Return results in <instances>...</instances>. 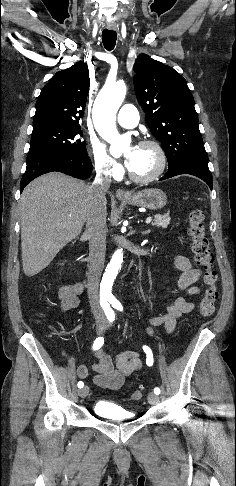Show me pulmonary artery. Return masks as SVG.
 Masks as SVG:
<instances>
[{
    "label": "pulmonary artery",
    "mask_w": 236,
    "mask_h": 486,
    "mask_svg": "<svg viewBox=\"0 0 236 486\" xmlns=\"http://www.w3.org/2000/svg\"><path fill=\"white\" fill-rule=\"evenodd\" d=\"M117 122L125 128H134L139 122V114L135 106L132 104H125L121 107Z\"/></svg>",
    "instance_id": "pulmonary-artery-1"
}]
</instances>
